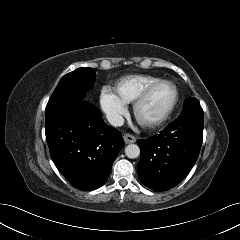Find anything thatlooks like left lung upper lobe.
<instances>
[{"label": "left lung upper lobe", "instance_id": "1", "mask_svg": "<svg viewBox=\"0 0 240 240\" xmlns=\"http://www.w3.org/2000/svg\"><path fill=\"white\" fill-rule=\"evenodd\" d=\"M195 105H200L199 101L196 98H187L184 102L183 108Z\"/></svg>", "mask_w": 240, "mask_h": 240}]
</instances>
